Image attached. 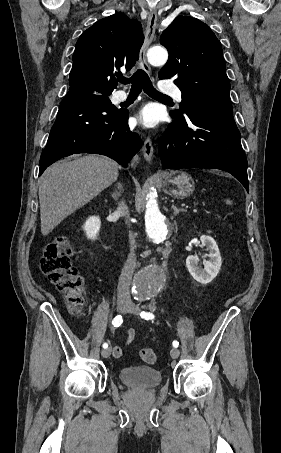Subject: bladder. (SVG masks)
Segmentation results:
<instances>
[{
  "instance_id": "obj_1",
  "label": "bladder",
  "mask_w": 281,
  "mask_h": 453,
  "mask_svg": "<svg viewBox=\"0 0 281 453\" xmlns=\"http://www.w3.org/2000/svg\"><path fill=\"white\" fill-rule=\"evenodd\" d=\"M119 379L127 386L138 389H150L162 382L161 372L152 367H123L118 373Z\"/></svg>"
}]
</instances>
